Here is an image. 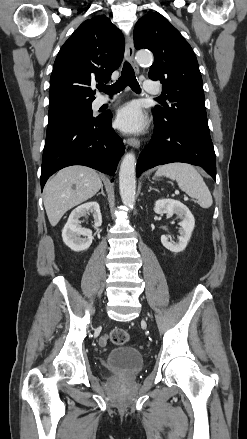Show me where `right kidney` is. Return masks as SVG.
<instances>
[{"label":"right kidney","instance_id":"1","mask_svg":"<svg viewBox=\"0 0 247 439\" xmlns=\"http://www.w3.org/2000/svg\"><path fill=\"white\" fill-rule=\"evenodd\" d=\"M89 213L93 215L94 227L98 228L101 226L102 216L100 206L97 202L92 201L75 208L71 212L68 221L62 230L63 242L73 251L79 252L86 250L92 244V231L82 228L79 222L80 217ZM81 236L84 238H81Z\"/></svg>","mask_w":247,"mask_h":439}]
</instances>
